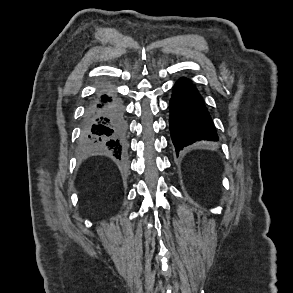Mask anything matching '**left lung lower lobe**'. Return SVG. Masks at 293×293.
I'll list each match as a JSON object with an SVG mask.
<instances>
[{"instance_id": "obj_1", "label": "left lung lower lobe", "mask_w": 293, "mask_h": 293, "mask_svg": "<svg viewBox=\"0 0 293 293\" xmlns=\"http://www.w3.org/2000/svg\"><path fill=\"white\" fill-rule=\"evenodd\" d=\"M169 126L176 154L196 141H217L212 119L196 87L186 78L174 85L169 102Z\"/></svg>"}]
</instances>
